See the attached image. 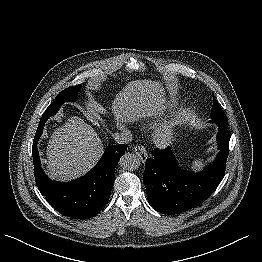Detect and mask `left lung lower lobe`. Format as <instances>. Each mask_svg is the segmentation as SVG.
Here are the masks:
<instances>
[{"instance_id":"1","label":"left lung lower lobe","mask_w":262,"mask_h":262,"mask_svg":"<svg viewBox=\"0 0 262 262\" xmlns=\"http://www.w3.org/2000/svg\"><path fill=\"white\" fill-rule=\"evenodd\" d=\"M219 126V152L213 164L199 173L181 169L171 148L153 150V158L145 162L143 182L150 205L163 214H178L200 205L217 188L224 177L229 152L228 121Z\"/></svg>"}]
</instances>
